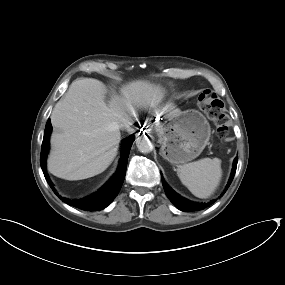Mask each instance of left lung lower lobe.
I'll return each mask as SVG.
<instances>
[{
	"instance_id": "0a47b994",
	"label": "left lung lower lobe",
	"mask_w": 285,
	"mask_h": 285,
	"mask_svg": "<svg viewBox=\"0 0 285 285\" xmlns=\"http://www.w3.org/2000/svg\"><path fill=\"white\" fill-rule=\"evenodd\" d=\"M237 162H238V157H235L234 162H233V168H232L230 179H229L228 184L226 186V189L223 191L222 195L226 192V190L228 189V187L230 186V184L234 178V175L236 172V167H237ZM162 184H163L165 193H166L167 197L169 198V200L181 211L191 212V211H195V210H202L203 208H205L208 205L213 203V201H211L209 204L195 203V202L189 201V200L181 197L179 194H177L174 190H172L166 184L163 177H162Z\"/></svg>"
}]
</instances>
